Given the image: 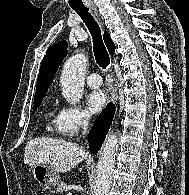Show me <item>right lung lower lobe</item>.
<instances>
[{
    "mask_svg": "<svg viewBox=\"0 0 189 195\" xmlns=\"http://www.w3.org/2000/svg\"><path fill=\"white\" fill-rule=\"evenodd\" d=\"M114 111L115 106L113 103H109L107 108L101 112L89 132V148L93 154H96L101 148L113 120Z\"/></svg>",
    "mask_w": 189,
    "mask_h": 195,
    "instance_id": "obj_1",
    "label": "right lung lower lobe"
}]
</instances>
